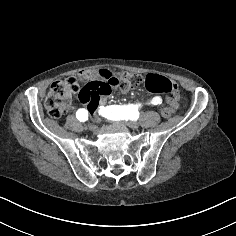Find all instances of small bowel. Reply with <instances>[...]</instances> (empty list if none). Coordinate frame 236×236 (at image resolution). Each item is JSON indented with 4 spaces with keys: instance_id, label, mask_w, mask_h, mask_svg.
I'll list each match as a JSON object with an SVG mask.
<instances>
[{
    "instance_id": "obj_1",
    "label": "small bowel",
    "mask_w": 236,
    "mask_h": 236,
    "mask_svg": "<svg viewBox=\"0 0 236 236\" xmlns=\"http://www.w3.org/2000/svg\"><path fill=\"white\" fill-rule=\"evenodd\" d=\"M127 91H128V88L123 89L124 93H126ZM106 102H107V99L102 98L98 105H106ZM161 103H162V98L159 96H155V97L149 99L147 102L148 105H152V106L160 105Z\"/></svg>"
}]
</instances>
